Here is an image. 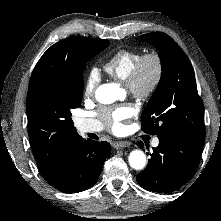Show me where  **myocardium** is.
<instances>
[{
  "mask_svg": "<svg viewBox=\"0 0 221 221\" xmlns=\"http://www.w3.org/2000/svg\"><path fill=\"white\" fill-rule=\"evenodd\" d=\"M151 69V77L146 79L147 69ZM164 76V62L158 52L142 55L131 72L126 86L131 95L137 100L151 98L160 87Z\"/></svg>",
  "mask_w": 221,
  "mask_h": 221,
  "instance_id": "myocardium-1",
  "label": "myocardium"
}]
</instances>
